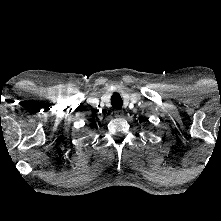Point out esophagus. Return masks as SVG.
Wrapping results in <instances>:
<instances>
[{"label": "esophagus", "instance_id": "esophagus-1", "mask_svg": "<svg viewBox=\"0 0 221 221\" xmlns=\"http://www.w3.org/2000/svg\"><path fill=\"white\" fill-rule=\"evenodd\" d=\"M115 116L116 117H123L124 116V112H123V110H120V109H118V110H115Z\"/></svg>", "mask_w": 221, "mask_h": 221}]
</instances>
